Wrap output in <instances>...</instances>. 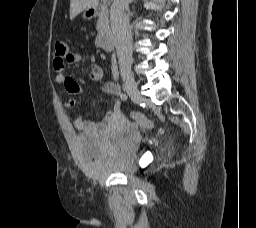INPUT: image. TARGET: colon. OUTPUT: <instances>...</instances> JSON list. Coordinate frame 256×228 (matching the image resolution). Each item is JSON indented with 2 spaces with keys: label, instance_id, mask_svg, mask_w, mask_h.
I'll return each instance as SVG.
<instances>
[{
  "label": "colon",
  "instance_id": "5ec220e1",
  "mask_svg": "<svg viewBox=\"0 0 256 228\" xmlns=\"http://www.w3.org/2000/svg\"><path fill=\"white\" fill-rule=\"evenodd\" d=\"M69 54H70V50L67 44L62 40H57L55 42V47H54V59L57 60L59 64H63L64 62L67 61ZM131 116L139 125L143 126L144 128L154 129L155 127L154 123L151 120H149L147 117H145L143 114L139 112H132Z\"/></svg>",
  "mask_w": 256,
  "mask_h": 228
}]
</instances>
